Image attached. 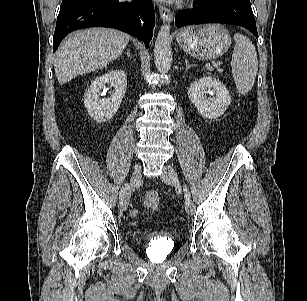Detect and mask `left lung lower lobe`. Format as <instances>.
<instances>
[{"label":"left lung lower lobe","mask_w":307,"mask_h":301,"mask_svg":"<svg viewBox=\"0 0 307 301\" xmlns=\"http://www.w3.org/2000/svg\"><path fill=\"white\" fill-rule=\"evenodd\" d=\"M195 8L180 12L175 17L177 27L203 23L240 25L258 39L250 0H195Z\"/></svg>","instance_id":"0a47b994"}]
</instances>
